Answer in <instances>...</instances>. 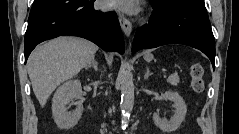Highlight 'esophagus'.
<instances>
[{
  "label": "esophagus",
  "instance_id": "34e87169",
  "mask_svg": "<svg viewBox=\"0 0 239 134\" xmlns=\"http://www.w3.org/2000/svg\"><path fill=\"white\" fill-rule=\"evenodd\" d=\"M121 28L124 32V34L129 37L132 32V24L129 19H127L123 14H119L118 16Z\"/></svg>",
  "mask_w": 239,
  "mask_h": 134
}]
</instances>
